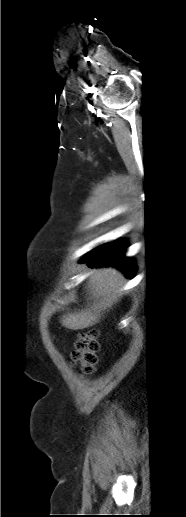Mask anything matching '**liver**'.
<instances>
[{
  "mask_svg": "<svg viewBox=\"0 0 186 517\" xmlns=\"http://www.w3.org/2000/svg\"><path fill=\"white\" fill-rule=\"evenodd\" d=\"M123 284L124 277L115 268L96 270L88 282L89 293L94 299L93 306L90 309L63 315L62 325L71 330H80L98 323L103 311L118 302L121 293L117 291Z\"/></svg>",
  "mask_w": 186,
  "mask_h": 517,
  "instance_id": "obj_1",
  "label": "liver"
}]
</instances>
